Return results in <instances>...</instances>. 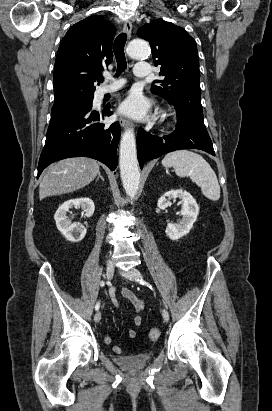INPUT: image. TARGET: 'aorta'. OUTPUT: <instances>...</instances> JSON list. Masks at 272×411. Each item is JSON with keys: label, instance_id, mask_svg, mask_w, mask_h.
I'll list each match as a JSON object with an SVG mask.
<instances>
[{"label": "aorta", "instance_id": "762f6f07", "mask_svg": "<svg viewBox=\"0 0 272 411\" xmlns=\"http://www.w3.org/2000/svg\"><path fill=\"white\" fill-rule=\"evenodd\" d=\"M131 58H143L149 54V45L145 40L134 39L127 47ZM119 166L121 180L127 196L134 198L140 183V172L136 152L135 134L128 128L122 135L119 151Z\"/></svg>", "mask_w": 272, "mask_h": 411}]
</instances>
